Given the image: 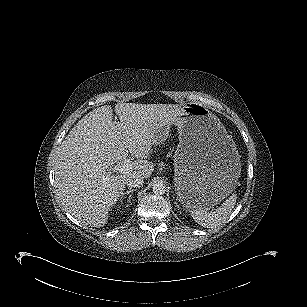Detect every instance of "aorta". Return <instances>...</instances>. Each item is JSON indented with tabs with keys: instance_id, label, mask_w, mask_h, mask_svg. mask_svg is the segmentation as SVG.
I'll return each instance as SVG.
<instances>
[{
	"instance_id": "aorta-1",
	"label": "aorta",
	"mask_w": 307,
	"mask_h": 307,
	"mask_svg": "<svg viewBox=\"0 0 307 307\" xmlns=\"http://www.w3.org/2000/svg\"><path fill=\"white\" fill-rule=\"evenodd\" d=\"M152 191L155 195H163L166 192V185L162 181H155L152 185Z\"/></svg>"
}]
</instances>
